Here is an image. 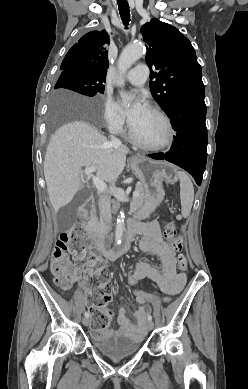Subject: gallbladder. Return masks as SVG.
<instances>
[{
    "label": "gallbladder",
    "mask_w": 248,
    "mask_h": 389,
    "mask_svg": "<svg viewBox=\"0 0 248 389\" xmlns=\"http://www.w3.org/2000/svg\"><path fill=\"white\" fill-rule=\"evenodd\" d=\"M89 191L88 189H84L80 192H78L71 203L64 209L65 211H68L67 214H62L60 216V223H63L66 220L67 215L70 217L71 223H73L76 220V209L78 206L82 205L88 198Z\"/></svg>",
    "instance_id": "bac80fb5"
}]
</instances>
